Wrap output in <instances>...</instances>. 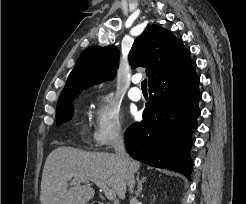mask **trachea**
Returning <instances> with one entry per match:
<instances>
[{"label":"trachea","mask_w":246,"mask_h":204,"mask_svg":"<svg viewBox=\"0 0 246 204\" xmlns=\"http://www.w3.org/2000/svg\"><path fill=\"white\" fill-rule=\"evenodd\" d=\"M141 87H142V89H147V79H144V80L141 82Z\"/></svg>","instance_id":"obj_1"}]
</instances>
